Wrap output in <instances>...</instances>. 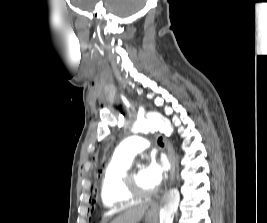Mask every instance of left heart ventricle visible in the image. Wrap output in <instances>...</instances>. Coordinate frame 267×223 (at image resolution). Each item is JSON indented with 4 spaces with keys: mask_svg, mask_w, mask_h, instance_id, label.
I'll list each match as a JSON object with an SVG mask.
<instances>
[{
    "mask_svg": "<svg viewBox=\"0 0 267 223\" xmlns=\"http://www.w3.org/2000/svg\"><path fill=\"white\" fill-rule=\"evenodd\" d=\"M135 182L139 190L144 192L154 191L155 188L147 181L145 176V168L139 167L134 173Z\"/></svg>",
    "mask_w": 267,
    "mask_h": 223,
    "instance_id": "left-heart-ventricle-1",
    "label": "left heart ventricle"
}]
</instances>
